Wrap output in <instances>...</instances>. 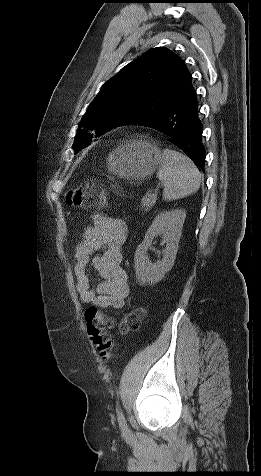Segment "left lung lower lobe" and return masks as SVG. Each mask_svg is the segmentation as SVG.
<instances>
[{"label": "left lung lower lobe", "instance_id": "0a47b994", "mask_svg": "<svg viewBox=\"0 0 261 476\" xmlns=\"http://www.w3.org/2000/svg\"><path fill=\"white\" fill-rule=\"evenodd\" d=\"M140 124L164 134L172 145L185 152L197 166L204 168L202 124L193 86L165 111L149 117Z\"/></svg>", "mask_w": 261, "mask_h": 476}]
</instances>
